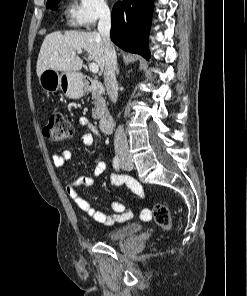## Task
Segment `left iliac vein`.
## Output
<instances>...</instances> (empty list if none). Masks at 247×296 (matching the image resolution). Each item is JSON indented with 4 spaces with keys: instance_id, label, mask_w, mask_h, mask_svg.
<instances>
[{
    "instance_id": "left-iliac-vein-1",
    "label": "left iliac vein",
    "mask_w": 247,
    "mask_h": 296,
    "mask_svg": "<svg viewBox=\"0 0 247 296\" xmlns=\"http://www.w3.org/2000/svg\"><path fill=\"white\" fill-rule=\"evenodd\" d=\"M121 167L122 169L129 171L133 169V163L130 160L128 162H122Z\"/></svg>"
}]
</instances>
